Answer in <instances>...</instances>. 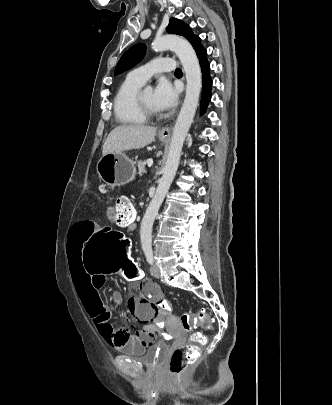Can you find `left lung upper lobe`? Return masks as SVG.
<instances>
[{"label":"left lung upper lobe","mask_w":332,"mask_h":405,"mask_svg":"<svg viewBox=\"0 0 332 405\" xmlns=\"http://www.w3.org/2000/svg\"><path fill=\"white\" fill-rule=\"evenodd\" d=\"M166 31L170 34H177L187 38L195 51L202 47L201 39L193 34L188 25L178 19L171 18ZM145 50L146 46L142 43L129 48L119 60L115 69V75L135 66L144 57Z\"/></svg>","instance_id":"1"}]
</instances>
